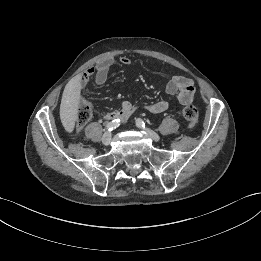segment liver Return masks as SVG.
Here are the masks:
<instances>
[{
	"label": "liver",
	"mask_w": 261,
	"mask_h": 261,
	"mask_svg": "<svg viewBox=\"0 0 261 261\" xmlns=\"http://www.w3.org/2000/svg\"><path fill=\"white\" fill-rule=\"evenodd\" d=\"M81 83L78 76L73 77L65 86L60 105V117L69 128H73L80 102Z\"/></svg>",
	"instance_id": "liver-1"
}]
</instances>
